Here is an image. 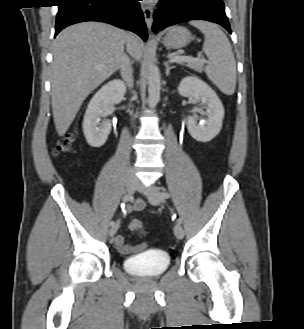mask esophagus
Here are the masks:
<instances>
[{
    "label": "esophagus",
    "instance_id": "obj_1",
    "mask_svg": "<svg viewBox=\"0 0 304 329\" xmlns=\"http://www.w3.org/2000/svg\"><path fill=\"white\" fill-rule=\"evenodd\" d=\"M141 8L144 14L145 23L148 30L150 31L153 24V9L149 4L146 3H143Z\"/></svg>",
    "mask_w": 304,
    "mask_h": 329
}]
</instances>
